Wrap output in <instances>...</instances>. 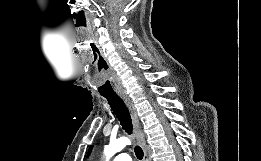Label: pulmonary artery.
<instances>
[{
    "mask_svg": "<svg viewBox=\"0 0 261 161\" xmlns=\"http://www.w3.org/2000/svg\"><path fill=\"white\" fill-rule=\"evenodd\" d=\"M113 161H132L127 153H120L114 157Z\"/></svg>",
    "mask_w": 261,
    "mask_h": 161,
    "instance_id": "obj_1",
    "label": "pulmonary artery"
}]
</instances>
